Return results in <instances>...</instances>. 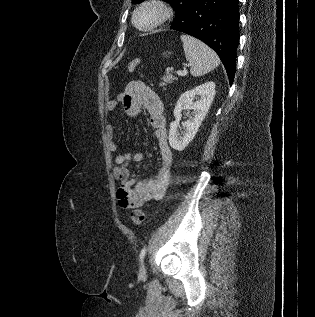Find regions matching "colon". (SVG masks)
<instances>
[{"label":"colon","mask_w":315,"mask_h":317,"mask_svg":"<svg viewBox=\"0 0 315 317\" xmlns=\"http://www.w3.org/2000/svg\"><path fill=\"white\" fill-rule=\"evenodd\" d=\"M141 65V61L139 59L131 60L127 65L128 72H135ZM145 214L143 210L137 208L131 212V220L135 225H141L144 222Z\"/></svg>","instance_id":"5ec220e1"}]
</instances>
